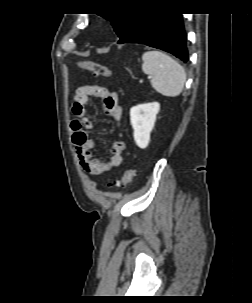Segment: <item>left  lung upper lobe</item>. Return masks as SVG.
I'll list each match as a JSON object with an SVG mask.
<instances>
[{"label":"left lung upper lobe","instance_id":"5c2ea615","mask_svg":"<svg viewBox=\"0 0 252 303\" xmlns=\"http://www.w3.org/2000/svg\"><path fill=\"white\" fill-rule=\"evenodd\" d=\"M112 22L113 28L120 39L124 38L130 33L141 18L145 15L144 12H133V13H110V14H99Z\"/></svg>","mask_w":252,"mask_h":303}]
</instances>
